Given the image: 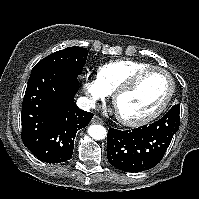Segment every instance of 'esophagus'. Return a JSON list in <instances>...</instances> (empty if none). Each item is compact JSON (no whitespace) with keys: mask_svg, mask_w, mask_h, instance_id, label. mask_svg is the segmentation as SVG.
I'll return each instance as SVG.
<instances>
[{"mask_svg":"<svg viewBox=\"0 0 199 199\" xmlns=\"http://www.w3.org/2000/svg\"><path fill=\"white\" fill-rule=\"evenodd\" d=\"M93 124H102L103 123V121H102V119L100 118V117H98V116H94L93 118H92V121H91Z\"/></svg>","mask_w":199,"mask_h":199,"instance_id":"1","label":"esophagus"}]
</instances>
